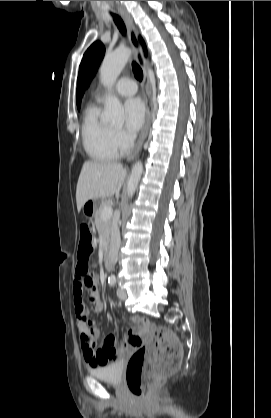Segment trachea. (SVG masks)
I'll return each mask as SVG.
<instances>
[{
  "label": "trachea",
  "instance_id": "obj_1",
  "mask_svg": "<svg viewBox=\"0 0 271 418\" xmlns=\"http://www.w3.org/2000/svg\"><path fill=\"white\" fill-rule=\"evenodd\" d=\"M113 19H114V22L117 25L118 29L120 30V32L123 35H125L126 34V28H125V25H124L122 19L115 14H113ZM132 67H133V72H134V75H135L136 79L139 80V81H142V78H143L142 69L135 62L132 63Z\"/></svg>",
  "mask_w": 271,
  "mask_h": 418
}]
</instances>
